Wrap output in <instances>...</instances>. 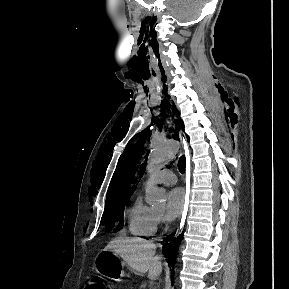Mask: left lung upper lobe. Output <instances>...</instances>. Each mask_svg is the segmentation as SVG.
<instances>
[{
	"instance_id": "1",
	"label": "left lung upper lobe",
	"mask_w": 289,
	"mask_h": 289,
	"mask_svg": "<svg viewBox=\"0 0 289 289\" xmlns=\"http://www.w3.org/2000/svg\"><path fill=\"white\" fill-rule=\"evenodd\" d=\"M137 146V144L135 145ZM133 146L132 148H134ZM127 151H124L120 158L118 170L116 171L115 178L118 177V173H120V178L118 180V186L121 185V174L126 171L127 169H130L131 171H136V167L131 163L132 161V155ZM134 160V157H133ZM132 176V175H131ZM136 183L134 180H128V182L123 187L122 192L123 194L119 195L120 191L113 189V184L110 186L108 193H107V199H106V208H111V211L113 210V214L111 217L117 219L120 216V208L124 206L125 201L128 200L132 192L134 191L136 186H132L131 184ZM116 186V184H115Z\"/></svg>"
}]
</instances>
